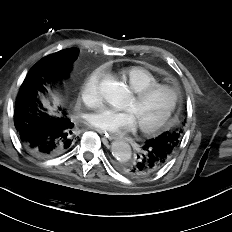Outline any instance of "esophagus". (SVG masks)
Wrapping results in <instances>:
<instances>
[{
  "label": "esophagus",
  "instance_id": "esophagus-1",
  "mask_svg": "<svg viewBox=\"0 0 232 232\" xmlns=\"http://www.w3.org/2000/svg\"><path fill=\"white\" fill-rule=\"evenodd\" d=\"M95 131H97L99 134H101L104 138L109 139V140H113L115 139V135L108 133L106 131L94 128Z\"/></svg>",
  "mask_w": 232,
  "mask_h": 232
}]
</instances>
